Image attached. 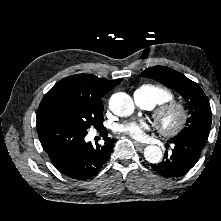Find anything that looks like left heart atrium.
I'll return each mask as SVG.
<instances>
[{"mask_svg":"<svg viewBox=\"0 0 221 221\" xmlns=\"http://www.w3.org/2000/svg\"><path fill=\"white\" fill-rule=\"evenodd\" d=\"M148 125L144 122L129 121L116 126V131L120 134L130 136L134 139H141L144 137Z\"/></svg>","mask_w":221,"mask_h":221,"instance_id":"left-heart-atrium-1","label":"left heart atrium"}]
</instances>
